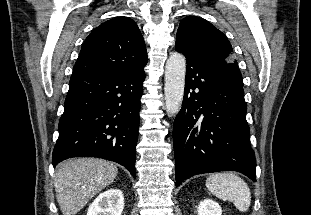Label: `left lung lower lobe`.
Segmentation results:
<instances>
[{
	"label": "left lung lower lobe",
	"instance_id": "1",
	"mask_svg": "<svg viewBox=\"0 0 311 215\" xmlns=\"http://www.w3.org/2000/svg\"><path fill=\"white\" fill-rule=\"evenodd\" d=\"M175 49L187 61L183 104L173 126L176 187L193 175L216 171H238L255 182L243 87Z\"/></svg>",
	"mask_w": 311,
	"mask_h": 215
}]
</instances>
